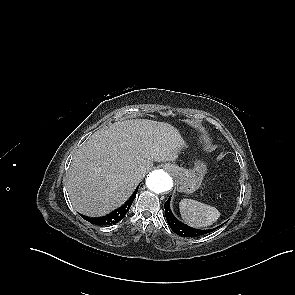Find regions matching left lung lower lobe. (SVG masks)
<instances>
[{
    "mask_svg": "<svg viewBox=\"0 0 295 295\" xmlns=\"http://www.w3.org/2000/svg\"><path fill=\"white\" fill-rule=\"evenodd\" d=\"M164 207H165V216H166V219H167V222H168L170 228L179 236L197 237L200 235L210 233L218 228V227H216L213 229L201 230V229H195V228H192V227H189V226L183 224L182 222H180L179 220H177L174 217V215L172 214V212L170 210V197L168 198V200L164 204Z\"/></svg>",
    "mask_w": 295,
    "mask_h": 295,
    "instance_id": "left-lung-lower-lobe-1",
    "label": "left lung lower lobe"
}]
</instances>
